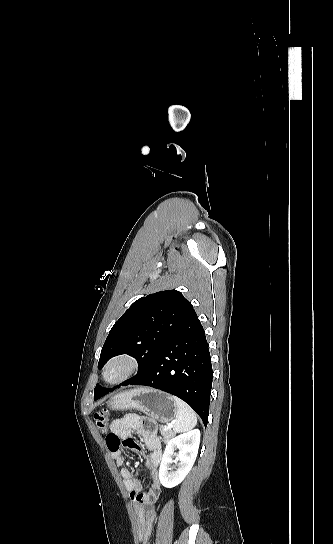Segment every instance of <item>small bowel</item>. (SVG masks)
Returning <instances> with one entry per match:
<instances>
[{"label": "small bowel", "instance_id": "obj_1", "mask_svg": "<svg viewBox=\"0 0 333 544\" xmlns=\"http://www.w3.org/2000/svg\"><path fill=\"white\" fill-rule=\"evenodd\" d=\"M140 435L145 448L131 439V435ZM106 446L115 463L122 467L120 474L133 502L138 518L137 539L146 544L156 518L155 502L161 493L158 478V467L162 459L161 442L156 434V424L153 420L137 414H128L111 423L110 433L106 436ZM123 448L133 449L144 457V466L151 478L150 488L143 492L139 478L125 466Z\"/></svg>", "mask_w": 333, "mask_h": 544}]
</instances>
